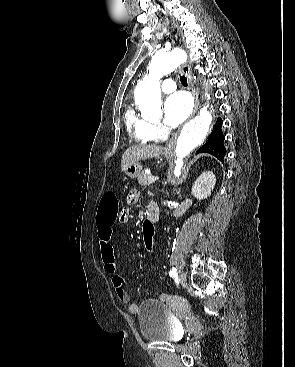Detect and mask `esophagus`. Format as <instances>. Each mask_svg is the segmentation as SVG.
Here are the masks:
<instances>
[{
	"label": "esophagus",
	"mask_w": 295,
	"mask_h": 367,
	"mask_svg": "<svg viewBox=\"0 0 295 367\" xmlns=\"http://www.w3.org/2000/svg\"><path fill=\"white\" fill-rule=\"evenodd\" d=\"M181 71L182 73L187 77L188 79V88L189 90L191 91L192 93V96L194 98V108H193V112L191 114L190 117H193L194 114L197 112V109H198V106H199V101H198V94L195 90V87H194V84H193V81H192V75H191V68L186 65V64H183L181 66ZM178 133L179 131H177L173 136L172 138L169 140V142L167 143L166 147H165V151L166 152H171L174 148V144L176 142V139H177V136H178Z\"/></svg>",
	"instance_id": "1"
}]
</instances>
